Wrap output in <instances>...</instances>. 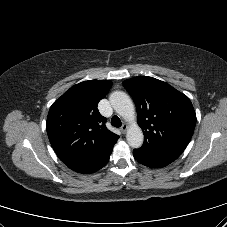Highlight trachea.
I'll return each instance as SVG.
<instances>
[{"label":"trachea","instance_id":"obj_1","mask_svg":"<svg viewBox=\"0 0 227 227\" xmlns=\"http://www.w3.org/2000/svg\"><path fill=\"white\" fill-rule=\"evenodd\" d=\"M111 125L114 127H120L122 125L121 120L118 116H113L111 119Z\"/></svg>","mask_w":227,"mask_h":227}]
</instances>
